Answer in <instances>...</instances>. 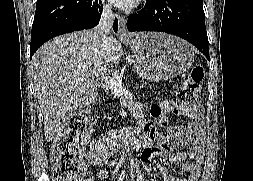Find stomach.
<instances>
[{"label": "stomach", "instance_id": "1", "mask_svg": "<svg viewBox=\"0 0 253 181\" xmlns=\"http://www.w3.org/2000/svg\"><path fill=\"white\" fill-rule=\"evenodd\" d=\"M137 74L149 81H162L187 71L194 61L192 47L184 40L157 32L144 33L127 42Z\"/></svg>", "mask_w": 253, "mask_h": 181}]
</instances>
